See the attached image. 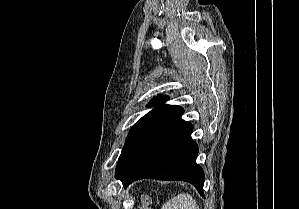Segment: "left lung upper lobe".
Returning <instances> with one entry per match:
<instances>
[{"mask_svg":"<svg viewBox=\"0 0 299 209\" xmlns=\"http://www.w3.org/2000/svg\"><path fill=\"white\" fill-rule=\"evenodd\" d=\"M166 100H168V97L167 96H163V95H160V96H157L155 98H153L149 104H148V107L149 106H156L155 109H153L152 111H150L149 113H147L145 116H143L129 131V134L128 136L134 131V129L141 123L143 122L147 117H149L154 111H156L160 106L161 103L165 102ZM127 136V137H128ZM127 139V138H126Z\"/></svg>","mask_w":299,"mask_h":209,"instance_id":"left-lung-upper-lobe-1","label":"left lung upper lobe"}]
</instances>
